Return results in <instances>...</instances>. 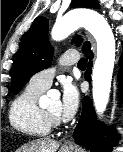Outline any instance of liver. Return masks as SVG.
Segmentation results:
<instances>
[{
  "mask_svg": "<svg viewBox=\"0 0 123 152\" xmlns=\"http://www.w3.org/2000/svg\"><path fill=\"white\" fill-rule=\"evenodd\" d=\"M59 145V142L55 140L43 138L24 145L16 152H56L59 148Z\"/></svg>",
  "mask_w": 123,
  "mask_h": 152,
  "instance_id": "1",
  "label": "liver"
}]
</instances>
